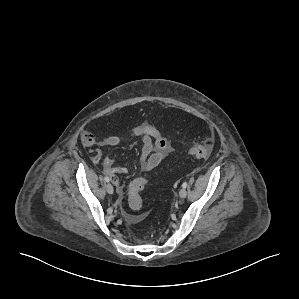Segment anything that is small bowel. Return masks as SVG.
<instances>
[{
    "label": "small bowel",
    "mask_w": 299,
    "mask_h": 299,
    "mask_svg": "<svg viewBox=\"0 0 299 299\" xmlns=\"http://www.w3.org/2000/svg\"><path fill=\"white\" fill-rule=\"evenodd\" d=\"M140 138L143 146L141 151V168L144 171L154 169L172 150L171 144L163 137L162 133L154 126L148 123H142L132 127L129 131L127 139ZM125 138L121 136H108L102 141V145L106 147L117 146L122 143ZM93 162L100 164L106 174L111 177L115 185H119L117 174H126V167L114 166V161L105 157L103 152L98 149L93 156Z\"/></svg>",
    "instance_id": "obj_1"
}]
</instances>
